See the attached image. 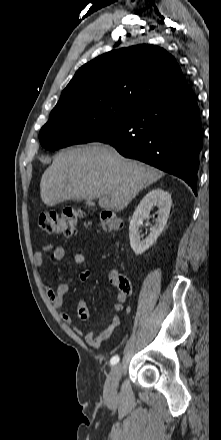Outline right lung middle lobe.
Segmentation results:
<instances>
[{
	"label": "right lung middle lobe",
	"mask_w": 221,
	"mask_h": 440,
	"mask_svg": "<svg viewBox=\"0 0 221 440\" xmlns=\"http://www.w3.org/2000/svg\"><path fill=\"white\" fill-rule=\"evenodd\" d=\"M136 108L113 102L74 103L53 109L41 128L45 149L97 141L116 129Z\"/></svg>",
	"instance_id": "1"
}]
</instances>
